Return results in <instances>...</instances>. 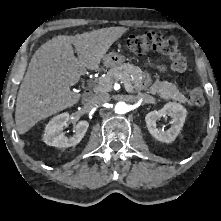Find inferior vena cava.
<instances>
[{"label": "inferior vena cava", "mask_w": 221, "mask_h": 221, "mask_svg": "<svg viewBox=\"0 0 221 221\" xmlns=\"http://www.w3.org/2000/svg\"><path fill=\"white\" fill-rule=\"evenodd\" d=\"M110 101V96L107 93H99L96 95H93L90 99V103L93 106L102 105L105 103H108Z\"/></svg>", "instance_id": "obj_1"}]
</instances>
